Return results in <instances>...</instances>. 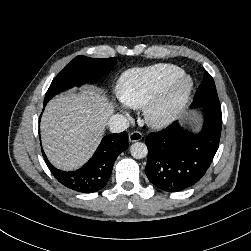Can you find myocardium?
<instances>
[{
	"mask_svg": "<svg viewBox=\"0 0 251 251\" xmlns=\"http://www.w3.org/2000/svg\"><path fill=\"white\" fill-rule=\"evenodd\" d=\"M192 89L193 80L184 73L170 82L144 105L145 122L153 128L171 124L183 111Z\"/></svg>",
	"mask_w": 251,
	"mask_h": 251,
	"instance_id": "myocardium-1",
	"label": "myocardium"
}]
</instances>
